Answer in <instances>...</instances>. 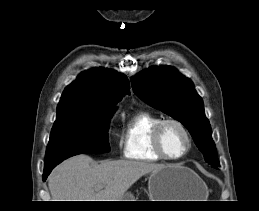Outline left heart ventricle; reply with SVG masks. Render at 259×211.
<instances>
[{
  "label": "left heart ventricle",
  "mask_w": 259,
  "mask_h": 211,
  "mask_svg": "<svg viewBox=\"0 0 259 211\" xmlns=\"http://www.w3.org/2000/svg\"><path fill=\"white\" fill-rule=\"evenodd\" d=\"M162 142L166 153L170 156L180 155L187 146L183 132L176 125H167L162 132Z\"/></svg>",
  "instance_id": "obj_1"
}]
</instances>
